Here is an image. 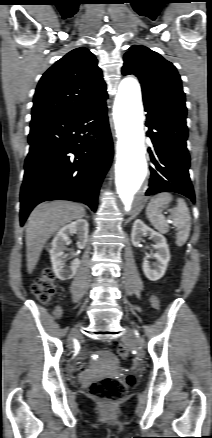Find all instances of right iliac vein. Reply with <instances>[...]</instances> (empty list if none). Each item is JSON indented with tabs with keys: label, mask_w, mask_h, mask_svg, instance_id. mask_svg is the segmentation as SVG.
Here are the masks:
<instances>
[{
	"label": "right iliac vein",
	"mask_w": 212,
	"mask_h": 438,
	"mask_svg": "<svg viewBox=\"0 0 212 438\" xmlns=\"http://www.w3.org/2000/svg\"><path fill=\"white\" fill-rule=\"evenodd\" d=\"M80 335V332L78 329H74L71 334H70V339L74 338V337H78Z\"/></svg>",
	"instance_id": "obj_1"
}]
</instances>
